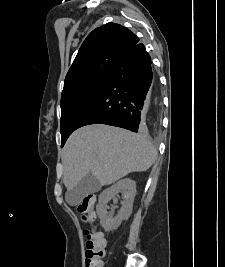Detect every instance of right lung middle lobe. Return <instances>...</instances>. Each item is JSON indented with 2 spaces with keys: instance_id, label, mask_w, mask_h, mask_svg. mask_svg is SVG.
<instances>
[{
  "instance_id": "dd1d6c3e",
  "label": "right lung middle lobe",
  "mask_w": 225,
  "mask_h": 267,
  "mask_svg": "<svg viewBox=\"0 0 225 267\" xmlns=\"http://www.w3.org/2000/svg\"><path fill=\"white\" fill-rule=\"evenodd\" d=\"M109 73L88 77L66 88L61 95L62 146L106 82Z\"/></svg>"
}]
</instances>
